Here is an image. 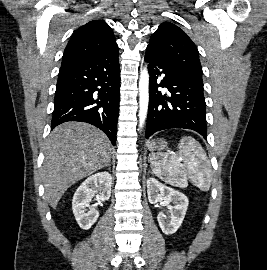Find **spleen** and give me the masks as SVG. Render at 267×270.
<instances>
[{
    "label": "spleen",
    "instance_id": "spleen-1",
    "mask_svg": "<svg viewBox=\"0 0 267 270\" xmlns=\"http://www.w3.org/2000/svg\"><path fill=\"white\" fill-rule=\"evenodd\" d=\"M150 164L154 174L168 184L184 188L190 180L202 191L210 188V161L205 150L191 136L181 138L177 154H153Z\"/></svg>",
    "mask_w": 267,
    "mask_h": 270
}]
</instances>
